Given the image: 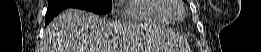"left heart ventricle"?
<instances>
[{"label": "left heart ventricle", "instance_id": "left-heart-ventricle-1", "mask_svg": "<svg viewBox=\"0 0 261 52\" xmlns=\"http://www.w3.org/2000/svg\"><path fill=\"white\" fill-rule=\"evenodd\" d=\"M180 16V11H176L175 14H174V17L177 18Z\"/></svg>", "mask_w": 261, "mask_h": 52}]
</instances>
